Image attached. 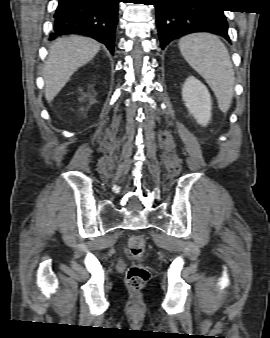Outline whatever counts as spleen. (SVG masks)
<instances>
[{
    "label": "spleen",
    "mask_w": 270,
    "mask_h": 338,
    "mask_svg": "<svg viewBox=\"0 0 270 338\" xmlns=\"http://www.w3.org/2000/svg\"><path fill=\"white\" fill-rule=\"evenodd\" d=\"M179 49L187 63L205 79L220 110L226 113L232 102L235 80L226 46L216 35L193 33L180 39Z\"/></svg>",
    "instance_id": "spleen-1"
}]
</instances>
